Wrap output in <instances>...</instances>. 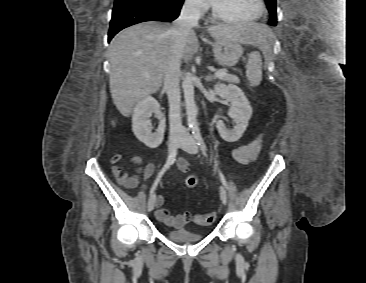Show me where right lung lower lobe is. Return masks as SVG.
<instances>
[{"label":"right lung lower lobe","instance_id":"obj_1","mask_svg":"<svg viewBox=\"0 0 366 283\" xmlns=\"http://www.w3.org/2000/svg\"><path fill=\"white\" fill-rule=\"evenodd\" d=\"M184 0H115L108 42L120 30L145 21L171 22L180 13Z\"/></svg>","mask_w":366,"mask_h":283}]
</instances>
